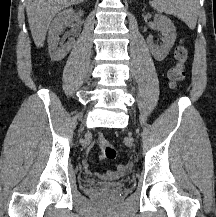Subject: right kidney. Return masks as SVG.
Returning <instances> with one entry per match:
<instances>
[{
	"label": "right kidney",
	"mask_w": 216,
	"mask_h": 217,
	"mask_svg": "<svg viewBox=\"0 0 216 217\" xmlns=\"http://www.w3.org/2000/svg\"><path fill=\"white\" fill-rule=\"evenodd\" d=\"M78 14L83 15V11L79 10ZM76 15V11L70 8L60 12L53 20L48 33V49L52 60H62L71 50L75 42L74 38H69L68 42L60 47H58V42L61 32L65 27L70 26Z\"/></svg>",
	"instance_id": "obj_1"
}]
</instances>
